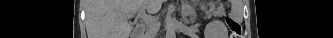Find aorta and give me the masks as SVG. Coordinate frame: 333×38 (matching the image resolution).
I'll use <instances>...</instances> for the list:
<instances>
[{"label":"aorta","mask_w":333,"mask_h":38,"mask_svg":"<svg viewBox=\"0 0 333 38\" xmlns=\"http://www.w3.org/2000/svg\"><path fill=\"white\" fill-rule=\"evenodd\" d=\"M175 37H176L175 28L171 23V21L169 20L166 27V38H175Z\"/></svg>","instance_id":"1"}]
</instances>
